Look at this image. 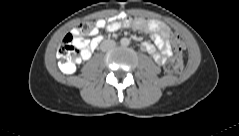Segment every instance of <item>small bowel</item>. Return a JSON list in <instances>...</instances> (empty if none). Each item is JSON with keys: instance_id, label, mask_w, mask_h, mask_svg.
<instances>
[{"instance_id": "c3829d8e", "label": "small bowel", "mask_w": 239, "mask_h": 136, "mask_svg": "<svg viewBox=\"0 0 239 136\" xmlns=\"http://www.w3.org/2000/svg\"><path fill=\"white\" fill-rule=\"evenodd\" d=\"M132 26L134 29L147 33L151 41H144V49L151 55L154 61L159 65H164L169 57L172 56L169 39L171 28L164 22L158 20H148L145 18L119 19L107 23L103 19L97 20V26L92 33V39H85L79 36L77 31H73L74 42L81 49V59L87 60L92 55L102 40L99 30L105 29L108 32H115L122 27Z\"/></svg>"}]
</instances>
